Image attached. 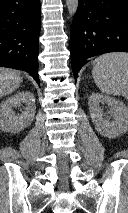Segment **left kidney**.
Segmentation results:
<instances>
[{"label": "left kidney", "instance_id": "obj_1", "mask_svg": "<svg viewBox=\"0 0 128 213\" xmlns=\"http://www.w3.org/2000/svg\"><path fill=\"white\" fill-rule=\"evenodd\" d=\"M101 103L110 107V116H106ZM88 105L92 122L102 136L111 139L128 131V107L122 101L100 93H92ZM110 117H113V120H110Z\"/></svg>", "mask_w": 128, "mask_h": 213}]
</instances>
